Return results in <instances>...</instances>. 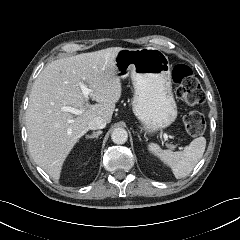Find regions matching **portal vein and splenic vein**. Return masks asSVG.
I'll list each match as a JSON object with an SVG mask.
<instances>
[{
  "label": "portal vein and splenic vein",
  "instance_id": "18ae733b",
  "mask_svg": "<svg viewBox=\"0 0 240 240\" xmlns=\"http://www.w3.org/2000/svg\"><path fill=\"white\" fill-rule=\"evenodd\" d=\"M80 88L82 90V93H83V96L85 97V99L88 101L89 99V95L91 93H93V90L92 89H89L86 85H84L83 83H80ZM62 111H66V112H70L72 114H75V115H79L82 113L81 110L79 109H76V108H73V107H70V106H64L61 108ZM163 138L165 141H168L169 139V136L166 134V133H163Z\"/></svg>",
  "mask_w": 240,
  "mask_h": 240
}]
</instances>
